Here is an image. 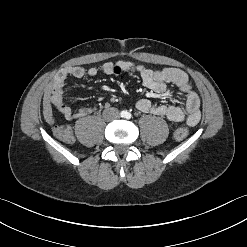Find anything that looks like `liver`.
Segmentation results:
<instances>
[{"label": "liver", "instance_id": "liver-1", "mask_svg": "<svg viewBox=\"0 0 247 247\" xmlns=\"http://www.w3.org/2000/svg\"><path fill=\"white\" fill-rule=\"evenodd\" d=\"M51 85H49L43 97V115L47 123L52 121V107H51Z\"/></svg>", "mask_w": 247, "mask_h": 247}]
</instances>
